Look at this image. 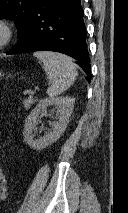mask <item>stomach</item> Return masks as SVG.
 I'll list each match as a JSON object with an SVG mask.
<instances>
[{"label":"stomach","mask_w":128,"mask_h":213,"mask_svg":"<svg viewBox=\"0 0 128 213\" xmlns=\"http://www.w3.org/2000/svg\"><path fill=\"white\" fill-rule=\"evenodd\" d=\"M2 76V72H0V77Z\"/></svg>","instance_id":"obj_1"}]
</instances>
